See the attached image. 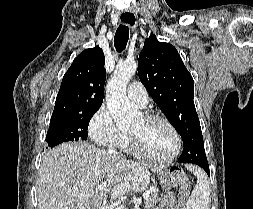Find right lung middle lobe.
<instances>
[{
    "mask_svg": "<svg viewBox=\"0 0 253 209\" xmlns=\"http://www.w3.org/2000/svg\"><path fill=\"white\" fill-rule=\"evenodd\" d=\"M99 108L70 116L51 118L46 135L47 147H54L68 141H85L90 119Z\"/></svg>",
    "mask_w": 253,
    "mask_h": 209,
    "instance_id": "dd1d6c3e",
    "label": "right lung middle lobe"
}]
</instances>
